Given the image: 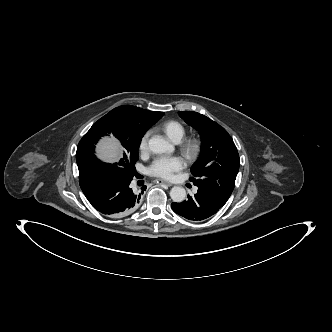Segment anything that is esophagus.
Here are the masks:
<instances>
[{
	"mask_svg": "<svg viewBox=\"0 0 332 332\" xmlns=\"http://www.w3.org/2000/svg\"><path fill=\"white\" fill-rule=\"evenodd\" d=\"M157 183L158 184H165V185H167V186H172V183H170V182H168V181H165V180H162V179H158L157 180Z\"/></svg>",
	"mask_w": 332,
	"mask_h": 332,
	"instance_id": "34e87169",
	"label": "esophagus"
}]
</instances>
